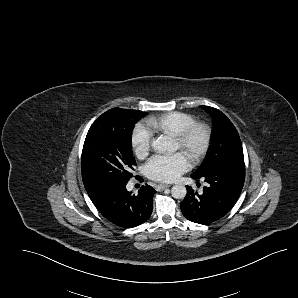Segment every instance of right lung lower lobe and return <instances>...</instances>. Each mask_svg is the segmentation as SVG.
<instances>
[{
    "label": "right lung lower lobe",
    "mask_w": 298,
    "mask_h": 298,
    "mask_svg": "<svg viewBox=\"0 0 298 298\" xmlns=\"http://www.w3.org/2000/svg\"><path fill=\"white\" fill-rule=\"evenodd\" d=\"M155 190L141 186L138 194L126 190V184L110 189L88 192L98 211L115 225L132 228L146 222L153 209Z\"/></svg>",
    "instance_id": "98d812e1"
}]
</instances>
